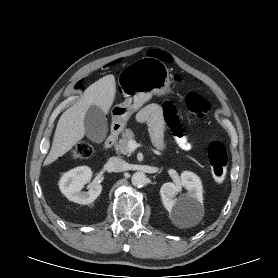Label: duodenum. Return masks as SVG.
<instances>
[{
  "instance_id": "duodenum-1",
  "label": "duodenum",
  "mask_w": 278,
  "mask_h": 278,
  "mask_svg": "<svg viewBox=\"0 0 278 278\" xmlns=\"http://www.w3.org/2000/svg\"><path fill=\"white\" fill-rule=\"evenodd\" d=\"M120 131H121V126L119 124H114L108 137L106 138V140L104 142L103 146L105 149H110L114 145Z\"/></svg>"
}]
</instances>
